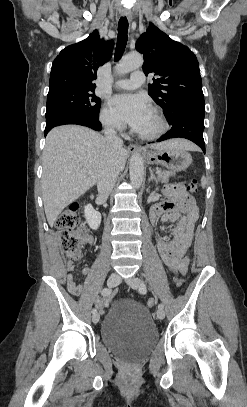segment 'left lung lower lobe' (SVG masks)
Returning <instances> with one entry per match:
<instances>
[{
  "label": "left lung lower lobe",
  "instance_id": "obj_1",
  "mask_svg": "<svg viewBox=\"0 0 247 407\" xmlns=\"http://www.w3.org/2000/svg\"><path fill=\"white\" fill-rule=\"evenodd\" d=\"M205 110L190 108L180 111L169 123L172 128L158 139V142L170 138H186L196 143L205 153L203 139Z\"/></svg>",
  "mask_w": 247,
  "mask_h": 407
}]
</instances>
